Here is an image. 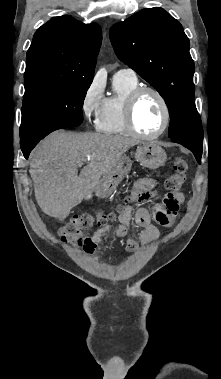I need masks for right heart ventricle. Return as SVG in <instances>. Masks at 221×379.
<instances>
[{
    "instance_id": "obj_1",
    "label": "right heart ventricle",
    "mask_w": 221,
    "mask_h": 379,
    "mask_svg": "<svg viewBox=\"0 0 221 379\" xmlns=\"http://www.w3.org/2000/svg\"><path fill=\"white\" fill-rule=\"evenodd\" d=\"M137 87V78L114 76L113 93L106 98L104 107L95 121L98 131L114 135L130 133L125 123L124 108L128 95Z\"/></svg>"
}]
</instances>
